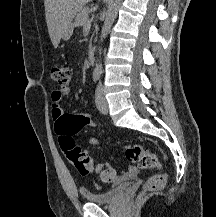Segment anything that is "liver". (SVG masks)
<instances>
[{"label": "liver", "mask_w": 216, "mask_h": 217, "mask_svg": "<svg viewBox=\"0 0 216 217\" xmlns=\"http://www.w3.org/2000/svg\"><path fill=\"white\" fill-rule=\"evenodd\" d=\"M91 1L93 0H44L47 28L55 48L75 15Z\"/></svg>", "instance_id": "6515ba94"}]
</instances>
